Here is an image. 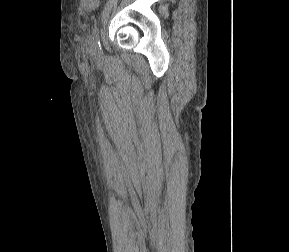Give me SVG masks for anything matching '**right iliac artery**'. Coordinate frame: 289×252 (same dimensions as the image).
<instances>
[{
    "label": "right iliac artery",
    "instance_id": "1",
    "mask_svg": "<svg viewBox=\"0 0 289 252\" xmlns=\"http://www.w3.org/2000/svg\"><path fill=\"white\" fill-rule=\"evenodd\" d=\"M92 42H93V47L95 51L98 53L101 51V45H100V40H99V31L98 27L95 26L93 31H92Z\"/></svg>",
    "mask_w": 289,
    "mask_h": 252
}]
</instances>
